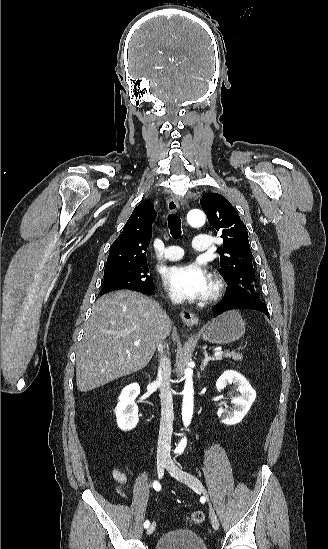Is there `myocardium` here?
<instances>
[{
	"mask_svg": "<svg viewBox=\"0 0 328 549\" xmlns=\"http://www.w3.org/2000/svg\"><path fill=\"white\" fill-rule=\"evenodd\" d=\"M210 267L212 268V266ZM223 290H224L223 282L218 278L214 279L212 283V289L209 295V299L212 301L218 299L221 296Z\"/></svg>",
	"mask_w": 328,
	"mask_h": 549,
	"instance_id": "obj_1",
	"label": "myocardium"
}]
</instances>
